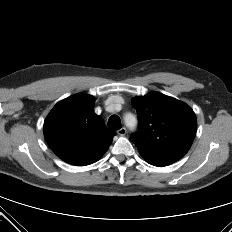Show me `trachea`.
Masks as SVG:
<instances>
[{
	"label": "trachea",
	"instance_id": "3493384b",
	"mask_svg": "<svg viewBox=\"0 0 232 232\" xmlns=\"http://www.w3.org/2000/svg\"><path fill=\"white\" fill-rule=\"evenodd\" d=\"M108 127L112 130H119L122 127L120 118L117 115H112L108 120Z\"/></svg>",
	"mask_w": 232,
	"mask_h": 232
}]
</instances>
